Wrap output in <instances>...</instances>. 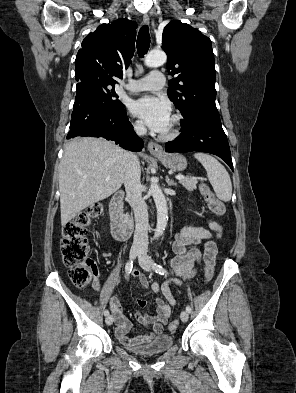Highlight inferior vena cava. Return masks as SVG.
<instances>
[{
	"mask_svg": "<svg viewBox=\"0 0 296 393\" xmlns=\"http://www.w3.org/2000/svg\"><path fill=\"white\" fill-rule=\"evenodd\" d=\"M135 132L142 136L146 134V128L143 124L134 126ZM124 166V186L126 190V199L134 211L135 216V233L133 246L147 249L148 247V213L147 205L142 198V189L140 183L141 168L137 156L132 152H126L123 159Z\"/></svg>",
	"mask_w": 296,
	"mask_h": 393,
	"instance_id": "1",
	"label": "inferior vena cava"
}]
</instances>
